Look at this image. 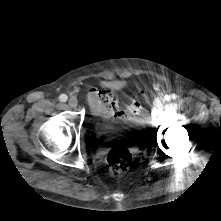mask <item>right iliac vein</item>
Instances as JSON below:
<instances>
[{"label": "right iliac vein", "instance_id": "63e3f726", "mask_svg": "<svg viewBox=\"0 0 221 221\" xmlns=\"http://www.w3.org/2000/svg\"><path fill=\"white\" fill-rule=\"evenodd\" d=\"M68 104L70 107L75 108L78 105V101L76 98L72 97L69 99Z\"/></svg>", "mask_w": 221, "mask_h": 221}]
</instances>
